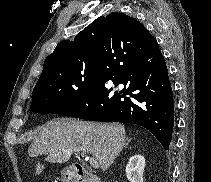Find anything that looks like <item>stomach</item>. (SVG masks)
Listing matches in <instances>:
<instances>
[{
    "label": "stomach",
    "mask_w": 211,
    "mask_h": 182,
    "mask_svg": "<svg viewBox=\"0 0 211 182\" xmlns=\"http://www.w3.org/2000/svg\"><path fill=\"white\" fill-rule=\"evenodd\" d=\"M76 174L70 168H65L62 170V180L63 182H75Z\"/></svg>",
    "instance_id": "stomach-1"
}]
</instances>
